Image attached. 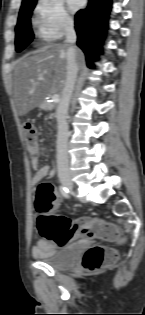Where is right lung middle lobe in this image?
Returning <instances> with one entry per match:
<instances>
[{
	"label": "right lung middle lobe",
	"mask_w": 145,
	"mask_h": 315,
	"mask_svg": "<svg viewBox=\"0 0 145 315\" xmlns=\"http://www.w3.org/2000/svg\"><path fill=\"white\" fill-rule=\"evenodd\" d=\"M36 1L37 0L21 6L18 17V23L15 29L16 30L15 45L17 52H20L25 47H27L34 38V34L31 29L30 18L32 11L36 5Z\"/></svg>",
	"instance_id": "right-lung-middle-lobe-1"
}]
</instances>
